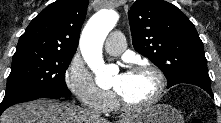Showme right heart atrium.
Segmentation results:
<instances>
[{"label": "right heart atrium", "instance_id": "right-heart-atrium-1", "mask_svg": "<svg viewBox=\"0 0 221 123\" xmlns=\"http://www.w3.org/2000/svg\"><path fill=\"white\" fill-rule=\"evenodd\" d=\"M65 82L69 90L85 106L100 113L109 111L114 99L112 92L97 86L87 67L78 59H73L68 65Z\"/></svg>", "mask_w": 221, "mask_h": 123}]
</instances>
